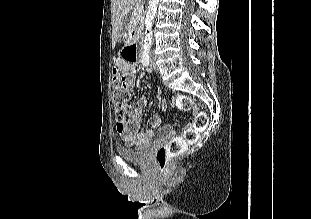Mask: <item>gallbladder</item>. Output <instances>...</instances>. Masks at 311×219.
I'll list each match as a JSON object with an SVG mask.
<instances>
[{
  "mask_svg": "<svg viewBox=\"0 0 311 219\" xmlns=\"http://www.w3.org/2000/svg\"><path fill=\"white\" fill-rule=\"evenodd\" d=\"M123 25H125V23L123 24ZM123 30V29H122ZM122 36V32H121V34H120V37ZM118 41H120V39H118Z\"/></svg>",
  "mask_w": 311,
  "mask_h": 219,
  "instance_id": "gallbladder-1",
  "label": "gallbladder"
}]
</instances>
